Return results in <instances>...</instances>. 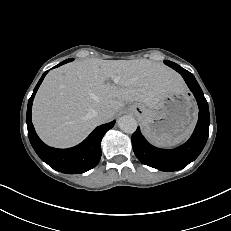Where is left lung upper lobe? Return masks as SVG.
Wrapping results in <instances>:
<instances>
[{"label":"left lung upper lobe","mask_w":231,"mask_h":231,"mask_svg":"<svg viewBox=\"0 0 231 231\" xmlns=\"http://www.w3.org/2000/svg\"><path fill=\"white\" fill-rule=\"evenodd\" d=\"M165 63H166L168 66L172 67L173 69L180 68L179 65H177V64H175V63H173V62L165 61Z\"/></svg>","instance_id":"1"}]
</instances>
